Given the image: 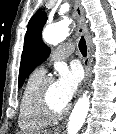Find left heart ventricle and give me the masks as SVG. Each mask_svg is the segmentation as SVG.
<instances>
[{
  "label": "left heart ventricle",
  "instance_id": "b2bd125f",
  "mask_svg": "<svg viewBox=\"0 0 116 134\" xmlns=\"http://www.w3.org/2000/svg\"><path fill=\"white\" fill-rule=\"evenodd\" d=\"M49 100H50V103L52 104V106L55 109H62V108L65 107V105L60 100V97H59L55 82H53L50 85V88H49Z\"/></svg>",
  "mask_w": 116,
  "mask_h": 134
}]
</instances>
